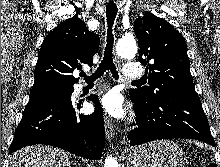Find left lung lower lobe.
I'll use <instances>...</instances> for the list:
<instances>
[{"instance_id":"0a47b994","label":"left lung lower lobe","mask_w":220,"mask_h":167,"mask_svg":"<svg viewBox=\"0 0 220 167\" xmlns=\"http://www.w3.org/2000/svg\"><path fill=\"white\" fill-rule=\"evenodd\" d=\"M138 128L129 132L130 146L157 139L188 138L214 145L198 96L168 92L148 103L130 93Z\"/></svg>"}]
</instances>
